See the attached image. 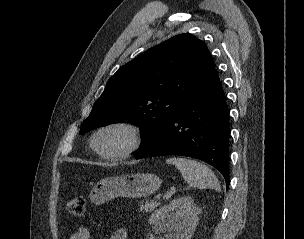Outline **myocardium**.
Returning a JSON list of instances; mask_svg holds the SVG:
<instances>
[{"instance_id": "1", "label": "myocardium", "mask_w": 304, "mask_h": 239, "mask_svg": "<svg viewBox=\"0 0 304 239\" xmlns=\"http://www.w3.org/2000/svg\"><path fill=\"white\" fill-rule=\"evenodd\" d=\"M112 129H119L124 131L127 136H128V143L127 145L122 148L119 151L112 152V153H106L103 152L98 144V138L99 136L108 130ZM143 141V134L140 126L137 124L131 122V121H126V120H116V121H111L106 124H103L99 128L96 129L94 134L92 135L91 138V146L92 149L102 158L107 159V160H122L125 159L129 156H131L133 153H135L141 146Z\"/></svg>"}]
</instances>
